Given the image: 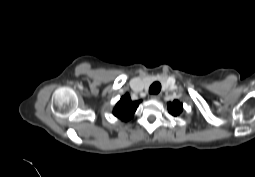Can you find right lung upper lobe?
<instances>
[{"label": "right lung upper lobe", "mask_w": 255, "mask_h": 177, "mask_svg": "<svg viewBox=\"0 0 255 177\" xmlns=\"http://www.w3.org/2000/svg\"><path fill=\"white\" fill-rule=\"evenodd\" d=\"M141 101H132L129 94H125L116 104L113 114L122 121L130 120Z\"/></svg>", "instance_id": "cb5924a9"}]
</instances>
